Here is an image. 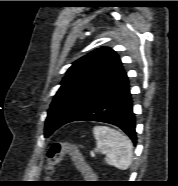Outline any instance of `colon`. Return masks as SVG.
<instances>
[{
    "mask_svg": "<svg viewBox=\"0 0 178 186\" xmlns=\"http://www.w3.org/2000/svg\"><path fill=\"white\" fill-rule=\"evenodd\" d=\"M70 155L75 161L78 169L84 173L88 174L90 168L82 157L80 151L76 146L69 143H53L47 151V166L46 171L48 174H51L54 170V167L62 160L65 155Z\"/></svg>",
    "mask_w": 178,
    "mask_h": 186,
    "instance_id": "1",
    "label": "colon"
}]
</instances>
